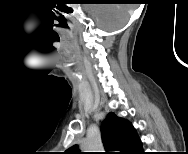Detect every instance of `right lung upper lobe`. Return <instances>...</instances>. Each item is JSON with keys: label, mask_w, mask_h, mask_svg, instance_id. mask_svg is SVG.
Here are the masks:
<instances>
[{"label": "right lung upper lobe", "mask_w": 188, "mask_h": 154, "mask_svg": "<svg viewBox=\"0 0 188 154\" xmlns=\"http://www.w3.org/2000/svg\"><path fill=\"white\" fill-rule=\"evenodd\" d=\"M101 132L107 150L116 151L118 154H139L142 150L141 140L132 124L112 112L104 120ZM67 151L79 153L77 145Z\"/></svg>", "instance_id": "1"}]
</instances>
